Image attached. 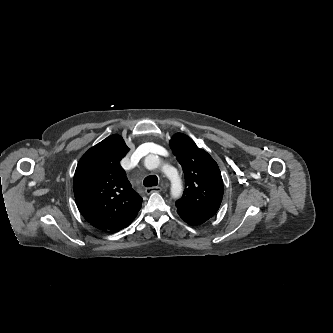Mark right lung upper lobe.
I'll return each mask as SVG.
<instances>
[{"mask_svg":"<svg viewBox=\"0 0 333 333\" xmlns=\"http://www.w3.org/2000/svg\"><path fill=\"white\" fill-rule=\"evenodd\" d=\"M129 148L111 135L90 148L79 160L73 190L82 216L94 227L118 232L137 216L142 197L132 188L120 160Z\"/></svg>","mask_w":333,"mask_h":333,"instance_id":"cb5924a9","label":"right lung upper lobe"}]
</instances>
